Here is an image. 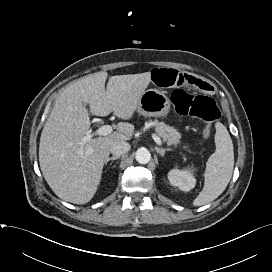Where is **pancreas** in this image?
Wrapping results in <instances>:
<instances>
[{
  "label": "pancreas",
  "mask_w": 272,
  "mask_h": 272,
  "mask_svg": "<svg viewBox=\"0 0 272 272\" xmlns=\"http://www.w3.org/2000/svg\"><path fill=\"white\" fill-rule=\"evenodd\" d=\"M154 127L157 135L162 138L163 142L175 146L180 144L181 134L174 127L168 126L163 122H155Z\"/></svg>",
  "instance_id": "1"
}]
</instances>
